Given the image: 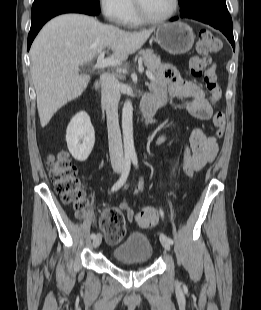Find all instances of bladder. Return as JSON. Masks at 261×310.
<instances>
[{"mask_svg": "<svg viewBox=\"0 0 261 310\" xmlns=\"http://www.w3.org/2000/svg\"><path fill=\"white\" fill-rule=\"evenodd\" d=\"M111 255L122 263H147L153 256V246L146 234L135 231L116 245Z\"/></svg>", "mask_w": 261, "mask_h": 310, "instance_id": "1", "label": "bladder"}]
</instances>
